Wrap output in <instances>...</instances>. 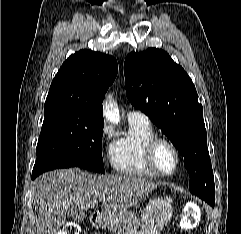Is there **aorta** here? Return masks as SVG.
Listing matches in <instances>:
<instances>
[{
    "label": "aorta",
    "instance_id": "aorta-1",
    "mask_svg": "<svg viewBox=\"0 0 241 234\" xmlns=\"http://www.w3.org/2000/svg\"><path fill=\"white\" fill-rule=\"evenodd\" d=\"M104 116L111 123L118 124L120 122L119 110L115 107V104L111 101V99L109 102L106 101V105L104 108Z\"/></svg>",
    "mask_w": 241,
    "mask_h": 234
}]
</instances>
